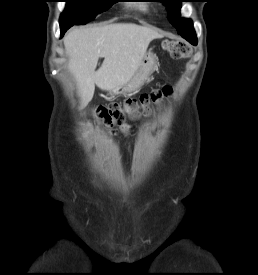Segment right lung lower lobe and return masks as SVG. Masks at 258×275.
I'll return each mask as SVG.
<instances>
[{
  "label": "right lung lower lobe",
  "mask_w": 258,
  "mask_h": 275,
  "mask_svg": "<svg viewBox=\"0 0 258 275\" xmlns=\"http://www.w3.org/2000/svg\"><path fill=\"white\" fill-rule=\"evenodd\" d=\"M73 25H60L61 28V36L64 35V33Z\"/></svg>",
  "instance_id": "obj_1"
}]
</instances>
